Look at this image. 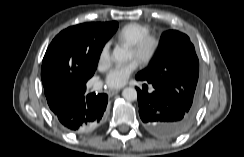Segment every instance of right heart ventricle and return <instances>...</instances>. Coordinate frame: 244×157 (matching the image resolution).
<instances>
[{
    "mask_svg": "<svg viewBox=\"0 0 244 157\" xmlns=\"http://www.w3.org/2000/svg\"><path fill=\"white\" fill-rule=\"evenodd\" d=\"M150 33V28L147 25L130 22L125 24L118 32L117 39L127 43L128 45H132L141 37Z\"/></svg>",
    "mask_w": 244,
    "mask_h": 157,
    "instance_id": "1",
    "label": "right heart ventricle"
}]
</instances>
